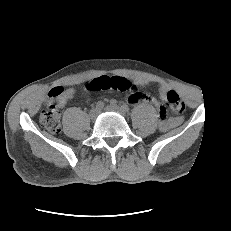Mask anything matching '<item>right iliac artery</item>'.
Segmentation results:
<instances>
[{
  "label": "right iliac artery",
  "mask_w": 231,
  "mask_h": 231,
  "mask_svg": "<svg viewBox=\"0 0 231 231\" xmlns=\"http://www.w3.org/2000/svg\"><path fill=\"white\" fill-rule=\"evenodd\" d=\"M104 107V103L102 101L97 102L96 104V109L102 110Z\"/></svg>",
  "instance_id": "82829eb1"
}]
</instances>
